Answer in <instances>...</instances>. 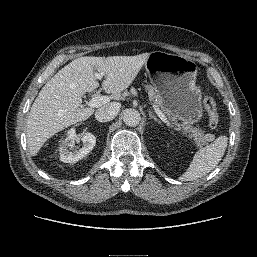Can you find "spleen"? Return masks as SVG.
<instances>
[{
    "instance_id": "1",
    "label": "spleen",
    "mask_w": 257,
    "mask_h": 257,
    "mask_svg": "<svg viewBox=\"0 0 257 257\" xmlns=\"http://www.w3.org/2000/svg\"><path fill=\"white\" fill-rule=\"evenodd\" d=\"M227 136H220L206 147L198 150L188 169L180 177V181H192L213 170L221 161L227 148Z\"/></svg>"
}]
</instances>
